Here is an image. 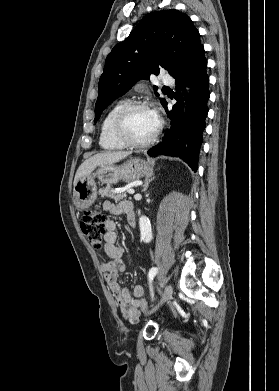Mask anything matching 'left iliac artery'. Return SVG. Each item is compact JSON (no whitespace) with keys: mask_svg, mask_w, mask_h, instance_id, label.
Returning <instances> with one entry per match:
<instances>
[{"mask_svg":"<svg viewBox=\"0 0 279 391\" xmlns=\"http://www.w3.org/2000/svg\"><path fill=\"white\" fill-rule=\"evenodd\" d=\"M157 272H158V269L156 267H152L150 269V271H149V274H148V279H149V283H150V291H151L152 298H153V290H152L151 283H152L153 278L157 274Z\"/></svg>","mask_w":279,"mask_h":391,"instance_id":"obj_1","label":"left iliac artery"}]
</instances>
